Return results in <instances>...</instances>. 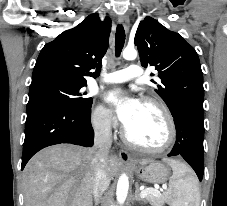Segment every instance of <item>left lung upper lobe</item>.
Masks as SVG:
<instances>
[{
	"mask_svg": "<svg viewBox=\"0 0 227 206\" xmlns=\"http://www.w3.org/2000/svg\"><path fill=\"white\" fill-rule=\"evenodd\" d=\"M141 65L159 72L156 93L173 114L180 106H203V74L195 49L178 33L157 20L145 17L135 34Z\"/></svg>",
	"mask_w": 227,
	"mask_h": 206,
	"instance_id": "1",
	"label": "left lung upper lobe"
}]
</instances>
